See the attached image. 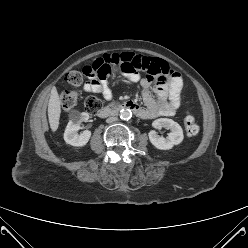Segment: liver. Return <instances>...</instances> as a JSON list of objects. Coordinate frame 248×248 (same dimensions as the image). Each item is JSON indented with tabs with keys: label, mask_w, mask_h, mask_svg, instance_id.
Wrapping results in <instances>:
<instances>
[{
	"label": "liver",
	"mask_w": 248,
	"mask_h": 248,
	"mask_svg": "<svg viewBox=\"0 0 248 248\" xmlns=\"http://www.w3.org/2000/svg\"><path fill=\"white\" fill-rule=\"evenodd\" d=\"M61 114V102L56 88L51 91L48 103V119L50 128L53 132L58 129Z\"/></svg>",
	"instance_id": "6515ba94"
}]
</instances>
